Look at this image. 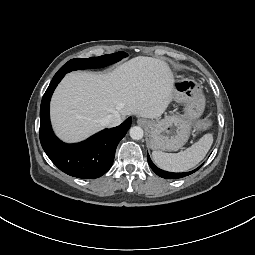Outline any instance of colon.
Here are the masks:
<instances>
[{
	"label": "colon",
	"instance_id": "colon-1",
	"mask_svg": "<svg viewBox=\"0 0 255 255\" xmlns=\"http://www.w3.org/2000/svg\"><path fill=\"white\" fill-rule=\"evenodd\" d=\"M209 125V119L208 118H204L201 119L200 121L197 122L196 127L198 129H204Z\"/></svg>",
	"mask_w": 255,
	"mask_h": 255
}]
</instances>
